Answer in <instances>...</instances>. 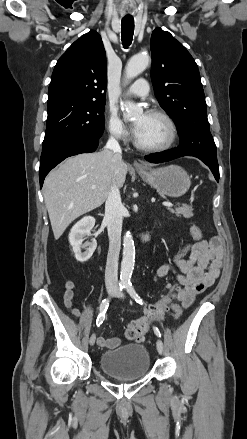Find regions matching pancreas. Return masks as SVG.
<instances>
[{"label": "pancreas", "mask_w": 247, "mask_h": 439, "mask_svg": "<svg viewBox=\"0 0 247 439\" xmlns=\"http://www.w3.org/2000/svg\"><path fill=\"white\" fill-rule=\"evenodd\" d=\"M171 213H175L177 217L191 218L193 216V209L191 205L183 204V206L172 209L169 208Z\"/></svg>", "instance_id": "pancreas-1"}]
</instances>
